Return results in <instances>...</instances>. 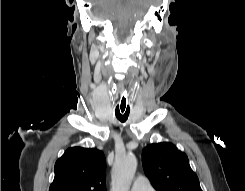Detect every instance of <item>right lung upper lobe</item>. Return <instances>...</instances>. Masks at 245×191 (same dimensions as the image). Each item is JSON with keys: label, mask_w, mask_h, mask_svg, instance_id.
I'll list each match as a JSON object with an SVG mask.
<instances>
[{"label": "right lung upper lobe", "mask_w": 245, "mask_h": 191, "mask_svg": "<svg viewBox=\"0 0 245 191\" xmlns=\"http://www.w3.org/2000/svg\"><path fill=\"white\" fill-rule=\"evenodd\" d=\"M49 191H106L103 152L94 148L67 149L55 164Z\"/></svg>", "instance_id": "right-lung-upper-lobe-1"}]
</instances>
